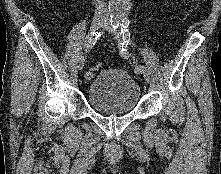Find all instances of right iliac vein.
Wrapping results in <instances>:
<instances>
[{
	"label": "right iliac vein",
	"mask_w": 221,
	"mask_h": 174,
	"mask_svg": "<svg viewBox=\"0 0 221 174\" xmlns=\"http://www.w3.org/2000/svg\"><path fill=\"white\" fill-rule=\"evenodd\" d=\"M105 23V20L102 18H94L91 26H90V31L91 33L96 32L97 30H99V28H101ZM84 59H80L79 61V67L80 69H82L84 67Z\"/></svg>",
	"instance_id": "obj_1"
}]
</instances>
